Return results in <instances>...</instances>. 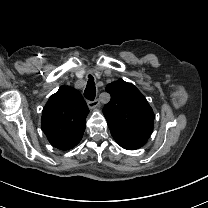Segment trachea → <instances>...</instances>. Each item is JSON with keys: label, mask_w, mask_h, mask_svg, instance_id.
<instances>
[{"label": "trachea", "mask_w": 208, "mask_h": 208, "mask_svg": "<svg viewBox=\"0 0 208 208\" xmlns=\"http://www.w3.org/2000/svg\"><path fill=\"white\" fill-rule=\"evenodd\" d=\"M84 96L90 101H93L96 96L95 82L91 74H88V82H87L86 89L84 91Z\"/></svg>", "instance_id": "obj_1"}]
</instances>
